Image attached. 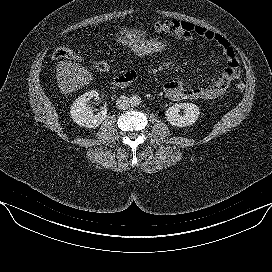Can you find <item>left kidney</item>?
Masks as SVG:
<instances>
[{
	"mask_svg": "<svg viewBox=\"0 0 272 272\" xmlns=\"http://www.w3.org/2000/svg\"><path fill=\"white\" fill-rule=\"evenodd\" d=\"M180 109H184V115H180ZM199 107L193 103H180L169 107L166 111L167 121L177 127H186L195 123L199 117Z\"/></svg>",
	"mask_w": 272,
	"mask_h": 272,
	"instance_id": "left-kidney-1",
	"label": "left kidney"
}]
</instances>
